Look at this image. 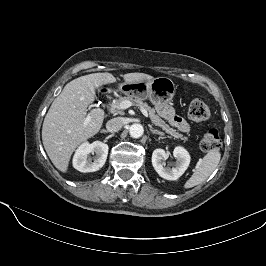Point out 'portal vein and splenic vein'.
I'll return each mask as SVG.
<instances>
[{
    "label": "portal vein and splenic vein",
    "mask_w": 266,
    "mask_h": 266,
    "mask_svg": "<svg viewBox=\"0 0 266 266\" xmlns=\"http://www.w3.org/2000/svg\"><path fill=\"white\" fill-rule=\"evenodd\" d=\"M130 106H132V104H131L130 101H122V102L120 103V108H121L122 110H125V109L129 108ZM140 111L142 112V114H143L145 117H148V112H147L145 109L141 108ZM89 122H90V116H88V117L86 118V120H85V122H84V126H86Z\"/></svg>",
    "instance_id": "portal-vein-and-splenic-vein-1"
}]
</instances>
